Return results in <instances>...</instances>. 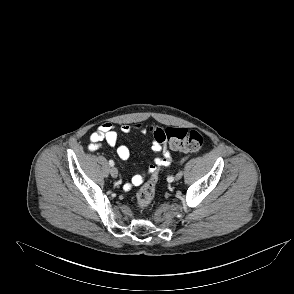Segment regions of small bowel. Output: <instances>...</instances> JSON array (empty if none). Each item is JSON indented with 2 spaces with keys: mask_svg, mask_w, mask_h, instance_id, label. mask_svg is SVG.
<instances>
[{
  "mask_svg": "<svg viewBox=\"0 0 294 294\" xmlns=\"http://www.w3.org/2000/svg\"><path fill=\"white\" fill-rule=\"evenodd\" d=\"M120 130L125 134L137 132L145 135L147 133L146 129L139 123L123 124L120 126ZM117 138L118 134L115 125L109 122L103 123L90 135L88 149L90 151H96L100 148L103 142H106L110 147H115L117 144ZM151 151L154 154L159 155L154 159L153 164L144 169L142 173L134 175L129 183L124 184L125 190H130L133 186H139L142 184L146 176L152 175L153 173L158 172L161 167L169 165L171 158L165 143L158 142L154 136ZM117 154L121 159L126 160L130 156V150L125 145H119L117 147Z\"/></svg>",
  "mask_w": 294,
  "mask_h": 294,
  "instance_id": "small-bowel-1",
  "label": "small bowel"
}]
</instances>
